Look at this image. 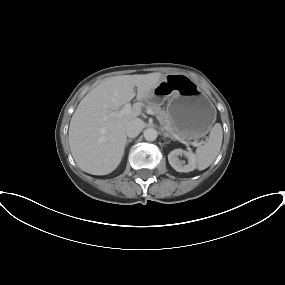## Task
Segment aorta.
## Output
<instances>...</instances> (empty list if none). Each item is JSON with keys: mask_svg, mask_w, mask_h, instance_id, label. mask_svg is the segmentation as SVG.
Here are the masks:
<instances>
[{"mask_svg": "<svg viewBox=\"0 0 285 285\" xmlns=\"http://www.w3.org/2000/svg\"><path fill=\"white\" fill-rule=\"evenodd\" d=\"M157 136H158V133L154 128H147L144 131V138L147 141H154L156 140Z\"/></svg>", "mask_w": 285, "mask_h": 285, "instance_id": "obj_1", "label": "aorta"}]
</instances>
